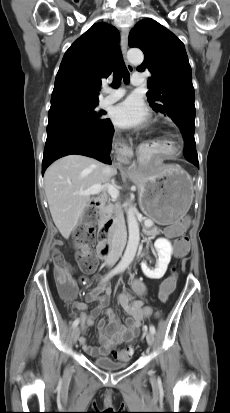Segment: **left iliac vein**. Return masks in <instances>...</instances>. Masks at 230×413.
I'll return each instance as SVG.
<instances>
[{"instance_id":"1","label":"left iliac vein","mask_w":230,"mask_h":413,"mask_svg":"<svg viewBox=\"0 0 230 413\" xmlns=\"http://www.w3.org/2000/svg\"><path fill=\"white\" fill-rule=\"evenodd\" d=\"M146 341L149 346H152L154 343V334L152 332H147L146 333Z\"/></svg>"}]
</instances>
